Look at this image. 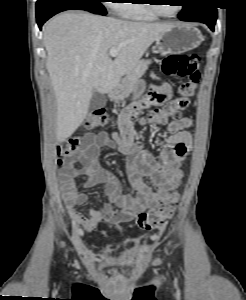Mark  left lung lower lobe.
Returning a JSON list of instances; mask_svg holds the SVG:
<instances>
[{
  "instance_id": "obj_1",
  "label": "left lung lower lobe",
  "mask_w": 246,
  "mask_h": 300,
  "mask_svg": "<svg viewBox=\"0 0 246 300\" xmlns=\"http://www.w3.org/2000/svg\"><path fill=\"white\" fill-rule=\"evenodd\" d=\"M178 17L182 21L205 23L212 31H214L217 19V8L211 3H205L186 14L179 15Z\"/></svg>"
}]
</instances>
